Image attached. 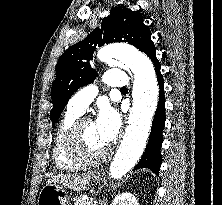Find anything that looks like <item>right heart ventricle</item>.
<instances>
[{
	"label": "right heart ventricle",
	"mask_w": 222,
	"mask_h": 205,
	"mask_svg": "<svg viewBox=\"0 0 222 205\" xmlns=\"http://www.w3.org/2000/svg\"><path fill=\"white\" fill-rule=\"evenodd\" d=\"M79 113L67 109L64 117L57 128L53 147L52 158L55 166L61 170H76L81 168L82 164L72 159L66 149V136L74 122L79 117Z\"/></svg>",
	"instance_id": "right-heart-ventricle-1"
}]
</instances>
